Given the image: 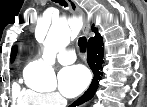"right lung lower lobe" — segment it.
<instances>
[{
    "label": "right lung lower lobe",
    "instance_id": "1",
    "mask_svg": "<svg viewBox=\"0 0 147 107\" xmlns=\"http://www.w3.org/2000/svg\"><path fill=\"white\" fill-rule=\"evenodd\" d=\"M104 57V45L101 36H95L88 41L87 62L94 73V78L88 90L78 98L71 106L74 107L78 104L84 103L91 99L98 87V82L101 78V69Z\"/></svg>",
    "mask_w": 147,
    "mask_h": 107
}]
</instances>
